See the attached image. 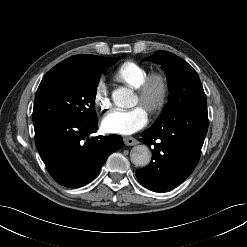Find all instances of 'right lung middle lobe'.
<instances>
[{
  "mask_svg": "<svg viewBox=\"0 0 247 247\" xmlns=\"http://www.w3.org/2000/svg\"><path fill=\"white\" fill-rule=\"evenodd\" d=\"M119 58L100 57L88 68H52L35 96L33 123L78 118L97 120L93 106L101 74Z\"/></svg>",
  "mask_w": 247,
  "mask_h": 247,
  "instance_id": "dd1d6c3e",
  "label": "right lung middle lobe"
}]
</instances>
